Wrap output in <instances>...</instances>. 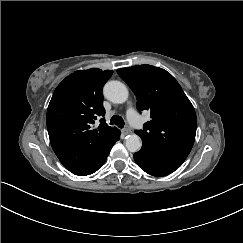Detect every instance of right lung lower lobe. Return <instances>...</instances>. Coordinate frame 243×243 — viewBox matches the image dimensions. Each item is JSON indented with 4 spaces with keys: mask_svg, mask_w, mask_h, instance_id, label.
Returning <instances> with one entry per match:
<instances>
[{
    "mask_svg": "<svg viewBox=\"0 0 243 243\" xmlns=\"http://www.w3.org/2000/svg\"><path fill=\"white\" fill-rule=\"evenodd\" d=\"M119 139H120V135L112 142V144L107 148V150L105 152H103L100 156H98L90 165H88L87 167L80 169L78 171H74L72 173L79 175V176H86V175H90V174L96 172L104 164V162L107 159V156L110 153L112 146Z\"/></svg>",
    "mask_w": 243,
    "mask_h": 243,
    "instance_id": "obj_1",
    "label": "right lung lower lobe"
}]
</instances>
